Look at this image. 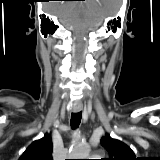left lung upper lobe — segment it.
Listing matches in <instances>:
<instances>
[{"instance_id": "left-lung-upper-lobe-1", "label": "left lung upper lobe", "mask_w": 160, "mask_h": 160, "mask_svg": "<svg viewBox=\"0 0 160 160\" xmlns=\"http://www.w3.org/2000/svg\"><path fill=\"white\" fill-rule=\"evenodd\" d=\"M101 145L107 150L110 156L103 160H138L128 145L111 138L108 134L101 139Z\"/></svg>"}]
</instances>
